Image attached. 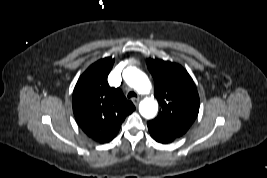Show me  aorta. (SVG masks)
Returning <instances> with one entry per match:
<instances>
[{
  "instance_id": "762f6f07",
  "label": "aorta",
  "mask_w": 267,
  "mask_h": 178,
  "mask_svg": "<svg viewBox=\"0 0 267 178\" xmlns=\"http://www.w3.org/2000/svg\"><path fill=\"white\" fill-rule=\"evenodd\" d=\"M125 82L134 88L139 94H149L152 89L147 75L135 67H128L123 72ZM158 111V103L153 98H145L139 104L140 114L147 119L153 118Z\"/></svg>"
}]
</instances>
